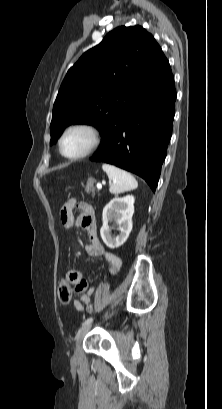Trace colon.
<instances>
[{
    "mask_svg": "<svg viewBox=\"0 0 222 409\" xmlns=\"http://www.w3.org/2000/svg\"><path fill=\"white\" fill-rule=\"evenodd\" d=\"M66 274L67 272L65 273L64 278L62 282L60 283V286L58 289V298H59V301L63 304H68L70 302L72 298V290L74 287V285H71L70 281L67 280ZM86 310L88 314L93 313L94 307L92 306L91 303L87 304Z\"/></svg>",
    "mask_w": 222,
    "mask_h": 409,
    "instance_id": "1",
    "label": "colon"
}]
</instances>
